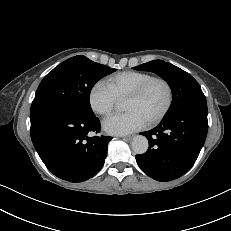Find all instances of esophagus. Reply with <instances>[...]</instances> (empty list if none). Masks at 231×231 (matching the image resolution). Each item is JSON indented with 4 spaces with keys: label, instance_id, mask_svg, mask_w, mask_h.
Here are the masks:
<instances>
[{
    "label": "esophagus",
    "instance_id": "obj_1",
    "mask_svg": "<svg viewBox=\"0 0 231 231\" xmlns=\"http://www.w3.org/2000/svg\"><path fill=\"white\" fill-rule=\"evenodd\" d=\"M122 139H123V140H131V139H132V136H122Z\"/></svg>",
    "mask_w": 231,
    "mask_h": 231
}]
</instances>
